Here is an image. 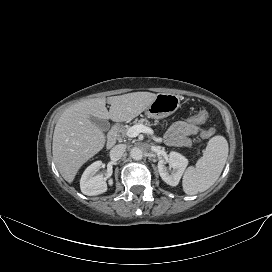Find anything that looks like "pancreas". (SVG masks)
Returning a JSON list of instances; mask_svg holds the SVG:
<instances>
[{
    "label": "pancreas",
    "mask_w": 272,
    "mask_h": 272,
    "mask_svg": "<svg viewBox=\"0 0 272 272\" xmlns=\"http://www.w3.org/2000/svg\"><path fill=\"white\" fill-rule=\"evenodd\" d=\"M141 124V125H150V122L147 119H140L138 120V122L136 123V125ZM130 127L129 126H124L122 127L119 132L122 136H125L127 134V131Z\"/></svg>",
    "instance_id": "pancreas-1"
}]
</instances>
